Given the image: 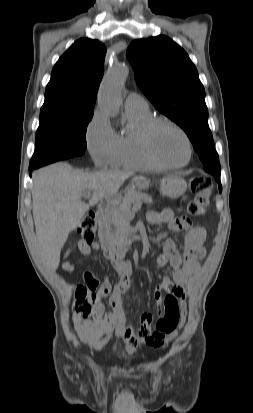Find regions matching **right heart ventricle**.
Listing matches in <instances>:
<instances>
[{"label": "right heart ventricle", "instance_id": "right-heart-ventricle-1", "mask_svg": "<svg viewBox=\"0 0 253 413\" xmlns=\"http://www.w3.org/2000/svg\"><path fill=\"white\" fill-rule=\"evenodd\" d=\"M152 117L149 110L136 111L125 109L128 130L117 134V144L110 164L118 168L154 169L156 168L143 154L139 143L142 125Z\"/></svg>", "mask_w": 253, "mask_h": 413}]
</instances>
